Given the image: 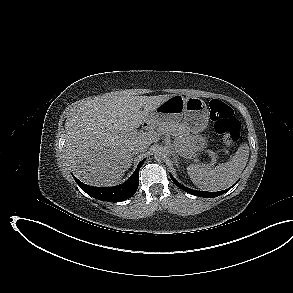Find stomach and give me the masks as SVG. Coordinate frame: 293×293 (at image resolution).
<instances>
[{"label": "stomach", "instance_id": "obj_1", "mask_svg": "<svg viewBox=\"0 0 293 293\" xmlns=\"http://www.w3.org/2000/svg\"><path fill=\"white\" fill-rule=\"evenodd\" d=\"M150 119L155 125H164L183 120L196 151L207 147V138L202 133L209 122V109L206 103L197 97L173 95L151 111Z\"/></svg>", "mask_w": 293, "mask_h": 293}]
</instances>
